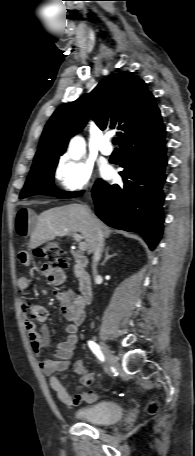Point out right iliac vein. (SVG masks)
Instances as JSON below:
<instances>
[{
	"label": "right iliac vein",
	"instance_id": "63e3f726",
	"mask_svg": "<svg viewBox=\"0 0 195 456\" xmlns=\"http://www.w3.org/2000/svg\"><path fill=\"white\" fill-rule=\"evenodd\" d=\"M100 346H101L103 355L105 356V358L107 360L108 365L110 367H114L116 365V359L112 355L109 347L103 342H100Z\"/></svg>",
	"mask_w": 195,
	"mask_h": 456
}]
</instances>
